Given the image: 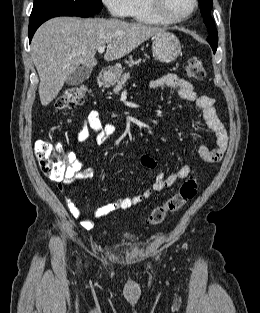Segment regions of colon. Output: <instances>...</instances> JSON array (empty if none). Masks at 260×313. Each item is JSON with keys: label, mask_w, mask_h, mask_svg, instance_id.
Listing matches in <instances>:
<instances>
[{"label": "colon", "mask_w": 260, "mask_h": 313, "mask_svg": "<svg viewBox=\"0 0 260 313\" xmlns=\"http://www.w3.org/2000/svg\"><path fill=\"white\" fill-rule=\"evenodd\" d=\"M185 76L192 80H203L206 76L202 61L198 57L188 60ZM87 88L84 85L73 86L59 95L53 104L54 111L71 109L85 100ZM35 154L43 174L55 181L64 178L70 166L69 155L60 144L46 139H40L35 144ZM198 189L196 178L187 179L179 191L162 204L156 206L148 215L146 223L150 226L161 224L166 215L179 211L187 202L192 200Z\"/></svg>", "instance_id": "5ec220e1"}]
</instances>
